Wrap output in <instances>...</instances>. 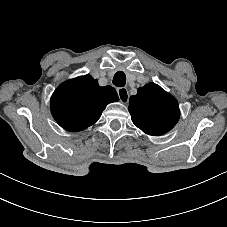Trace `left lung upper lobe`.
I'll return each instance as SVG.
<instances>
[{"label":"left lung upper lobe","instance_id":"obj_1","mask_svg":"<svg viewBox=\"0 0 227 227\" xmlns=\"http://www.w3.org/2000/svg\"><path fill=\"white\" fill-rule=\"evenodd\" d=\"M128 110L133 123L152 136L170 131L180 117L177 100L155 83L140 87L137 94L130 97Z\"/></svg>","mask_w":227,"mask_h":227}]
</instances>
